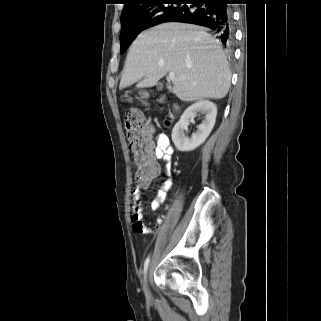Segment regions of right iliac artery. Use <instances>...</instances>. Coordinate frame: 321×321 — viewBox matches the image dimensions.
Segmentation results:
<instances>
[{
  "label": "right iliac artery",
  "instance_id": "1",
  "mask_svg": "<svg viewBox=\"0 0 321 321\" xmlns=\"http://www.w3.org/2000/svg\"><path fill=\"white\" fill-rule=\"evenodd\" d=\"M149 262H150V256H148L144 262V274L146 276L147 270H148V266H149Z\"/></svg>",
  "mask_w": 321,
  "mask_h": 321
}]
</instances>
